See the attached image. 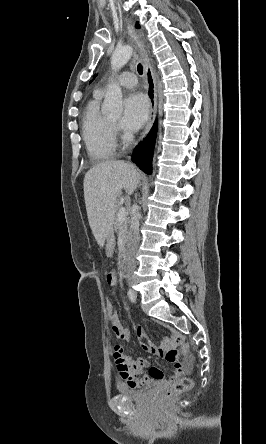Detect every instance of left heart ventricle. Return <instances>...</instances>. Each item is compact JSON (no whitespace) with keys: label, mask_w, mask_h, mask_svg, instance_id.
I'll return each mask as SVG.
<instances>
[{"label":"left heart ventricle","mask_w":266,"mask_h":444,"mask_svg":"<svg viewBox=\"0 0 266 444\" xmlns=\"http://www.w3.org/2000/svg\"><path fill=\"white\" fill-rule=\"evenodd\" d=\"M112 120H113V121H116V120H117V118H113Z\"/></svg>","instance_id":"obj_1"}]
</instances>
